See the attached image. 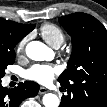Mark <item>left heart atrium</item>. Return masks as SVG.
Masks as SVG:
<instances>
[{
    "instance_id": "39dd6f15",
    "label": "left heart atrium",
    "mask_w": 107,
    "mask_h": 107,
    "mask_svg": "<svg viewBox=\"0 0 107 107\" xmlns=\"http://www.w3.org/2000/svg\"><path fill=\"white\" fill-rule=\"evenodd\" d=\"M56 74L57 69L54 66L36 64L25 71L24 77L40 84H48L54 79Z\"/></svg>"
}]
</instances>
